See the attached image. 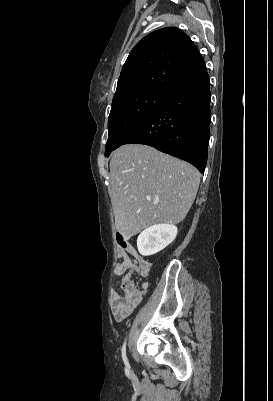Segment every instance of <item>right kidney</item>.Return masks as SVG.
<instances>
[{"label":"right kidney","mask_w":273,"mask_h":401,"mask_svg":"<svg viewBox=\"0 0 273 401\" xmlns=\"http://www.w3.org/2000/svg\"><path fill=\"white\" fill-rule=\"evenodd\" d=\"M177 235L175 225H153L140 233L137 239V249L143 257L155 255L174 241Z\"/></svg>","instance_id":"ca27d5eb"}]
</instances>
